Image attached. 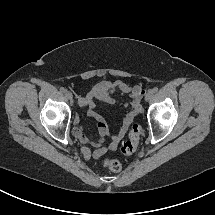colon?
Segmentation results:
<instances>
[{
	"label": "colon",
	"instance_id": "1",
	"mask_svg": "<svg viewBox=\"0 0 215 215\" xmlns=\"http://www.w3.org/2000/svg\"><path fill=\"white\" fill-rule=\"evenodd\" d=\"M141 133L142 128L140 125L136 124L132 126L128 133L127 140L123 143L121 147V151L124 155L129 156L136 151ZM102 163L107 169H109L113 173H119L122 170L121 163L116 159L106 157L103 159Z\"/></svg>",
	"mask_w": 215,
	"mask_h": 215
}]
</instances>
